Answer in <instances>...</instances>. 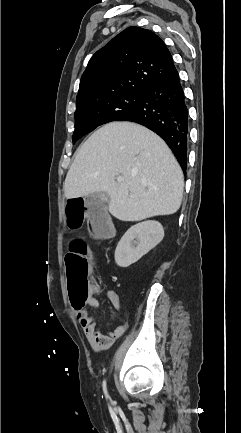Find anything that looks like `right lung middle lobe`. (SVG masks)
<instances>
[{
	"mask_svg": "<svg viewBox=\"0 0 241 433\" xmlns=\"http://www.w3.org/2000/svg\"><path fill=\"white\" fill-rule=\"evenodd\" d=\"M143 92L126 91L76 104L73 143L98 126L119 121L142 101Z\"/></svg>",
	"mask_w": 241,
	"mask_h": 433,
	"instance_id": "1",
	"label": "right lung middle lobe"
}]
</instances>
